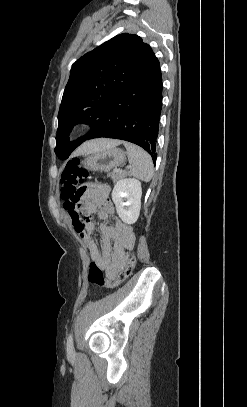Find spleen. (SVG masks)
<instances>
[{
    "mask_svg": "<svg viewBox=\"0 0 247 407\" xmlns=\"http://www.w3.org/2000/svg\"><path fill=\"white\" fill-rule=\"evenodd\" d=\"M123 145L127 149L128 161L131 165L130 175L144 182H149L154 173L150 155L135 144L123 142Z\"/></svg>",
    "mask_w": 247,
    "mask_h": 407,
    "instance_id": "3e777b00",
    "label": "spleen"
}]
</instances>
